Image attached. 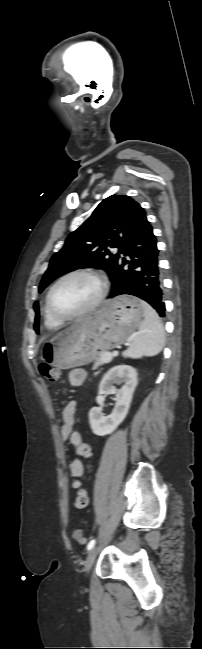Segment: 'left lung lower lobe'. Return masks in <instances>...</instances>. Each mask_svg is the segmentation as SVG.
I'll return each instance as SVG.
<instances>
[{"label": "left lung lower lobe", "mask_w": 202, "mask_h": 649, "mask_svg": "<svg viewBox=\"0 0 202 649\" xmlns=\"http://www.w3.org/2000/svg\"><path fill=\"white\" fill-rule=\"evenodd\" d=\"M156 238L146 216L140 218L124 238L119 253L124 256L111 273L113 290L108 298L129 294L137 296L157 310L161 317L165 314L162 301V279L158 267ZM128 265L125 269L124 266Z\"/></svg>", "instance_id": "left-lung-lower-lobe-1"}]
</instances>
